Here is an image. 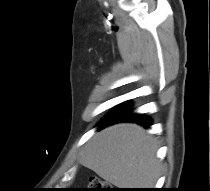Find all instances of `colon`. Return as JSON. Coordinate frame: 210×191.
I'll list each match as a JSON object with an SVG mask.
<instances>
[{
	"mask_svg": "<svg viewBox=\"0 0 210 191\" xmlns=\"http://www.w3.org/2000/svg\"><path fill=\"white\" fill-rule=\"evenodd\" d=\"M87 191H111V188L101 179L92 178Z\"/></svg>",
	"mask_w": 210,
	"mask_h": 191,
	"instance_id": "obj_1",
	"label": "colon"
}]
</instances>
